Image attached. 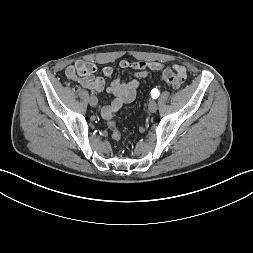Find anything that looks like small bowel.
Here are the masks:
<instances>
[{"label":"small bowel","instance_id":"1","mask_svg":"<svg viewBox=\"0 0 253 253\" xmlns=\"http://www.w3.org/2000/svg\"><path fill=\"white\" fill-rule=\"evenodd\" d=\"M120 67L124 70H133L136 79L128 82H121L115 79L107 84L106 78L113 74V67L105 65L102 69L103 76L95 77L97 66L91 61H78L71 64L66 68L65 74L68 79L79 83L86 89L102 92L106 88V91L113 96V100L111 104L102 106L101 113L105 118L111 119L120 111L124 104L130 103L135 99L140 86L138 79L147 77L151 71L163 69L164 65L160 62L122 60ZM172 67L185 73V67L180 64L173 63Z\"/></svg>","mask_w":253,"mask_h":253}]
</instances>
